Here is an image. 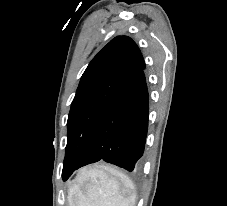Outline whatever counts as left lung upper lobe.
<instances>
[{
    "mask_svg": "<svg viewBox=\"0 0 227 206\" xmlns=\"http://www.w3.org/2000/svg\"><path fill=\"white\" fill-rule=\"evenodd\" d=\"M144 68L138 46L127 36L115 37L91 60L71 104L63 170L79 163L111 100Z\"/></svg>",
    "mask_w": 227,
    "mask_h": 206,
    "instance_id": "obj_1",
    "label": "left lung upper lobe"
}]
</instances>
